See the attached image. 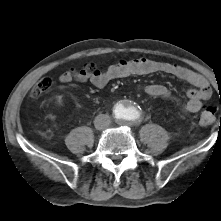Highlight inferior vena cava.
<instances>
[{
  "label": "inferior vena cava",
  "mask_w": 221,
  "mask_h": 221,
  "mask_svg": "<svg viewBox=\"0 0 221 221\" xmlns=\"http://www.w3.org/2000/svg\"><path fill=\"white\" fill-rule=\"evenodd\" d=\"M111 123L110 117L107 114H99L95 117L94 125L98 130L106 129Z\"/></svg>",
  "instance_id": "1"
}]
</instances>
